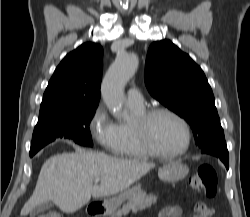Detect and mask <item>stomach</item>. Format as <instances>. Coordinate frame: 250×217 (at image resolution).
I'll return each mask as SVG.
<instances>
[{
    "label": "stomach",
    "instance_id": "1",
    "mask_svg": "<svg viewBox=\"0 0 250 217\" xmlns=\"http://www.w3.org/2000/svg\"><path fill=\"white\" fill-rule=\"evenodd\" d=\"M189 168L178 161L167 162L158 172L160 180L164 182H176L187 176ZM141 191V186L136 185L133 188H128L111 198L104 199L103 210L104 214L114 213L123 202L129 199L135 193Z\"/></svg>",
    "mask_w": 250,
    "mask_h": 217
}]
</instances>
